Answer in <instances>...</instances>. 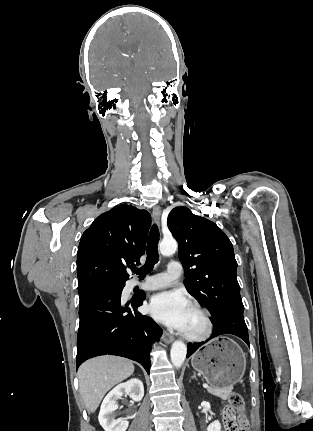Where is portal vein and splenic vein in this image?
Masks as SVG:
<instances>
[{"label":"portal vein and splenic vein","instance_id":"obj_1","mask_svg":"<svg viewBox=\"0 0 313 431\" xmlns=\"http://www.w3.org/2000/svg\"><path fill=\"white\" fill-rule=\"evenodd\" d=\"M204 388H209V386L207 384H203Z\"/></svg>","mask_w":313,"mask_h":431}]
</instances>
